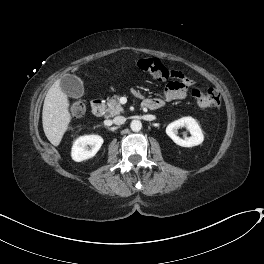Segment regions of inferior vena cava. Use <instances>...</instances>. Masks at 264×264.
<instances>
[{"label":"inferior vena cava","mask_w":264,"mask_h":264,"mask_svg":"<svg viewBox=\"0 0 264 264\" xmlns=\"http://www.w3.org/2000/svg\"><path fill=\"white\" fill-rule=\"evenodd\" d=\"M126 121V118L123 117V116H117L113 119V123L116 124V125H121V124H124Z\"/></svg>","instance_id":"602c4592"}]
</instances>
